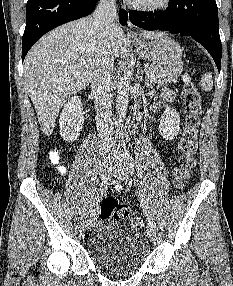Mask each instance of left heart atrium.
<instances>
[{
  "mask_svg": "<svg viewBox=\"0 0 233 286\" xmlns=\"http://www.w3.org/2000/svg\"><path fill=\"white\" fill-rule=\"evenodd\" d=\"M129 2H134V3H137L138 0H128Z\"/></svg>",
  "mask_w": 233,
  "mask_h": 286,
  "instance_id": "1",
  "label": "left heart atrium"
}]
</instances>
